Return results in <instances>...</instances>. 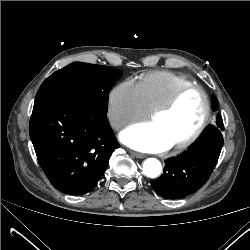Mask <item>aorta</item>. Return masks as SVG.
I'll return each instance as SVG.
<instances>
[{"instance_id": "aorta-1", "label": "aorta", "mask_w": 250, "mask_h": 250, "mask_svg": "<svg viewBox=\"0 0 250 250\" xmlns=\"http://www.w3.org/2000/svg\"><path fill=\"white\" fill-rule=\"evenodd\" d=\"M162 170L161 163L155 158H148L143 163V171L147 177L156 178Z\"/></svg>"}]
</instances>
